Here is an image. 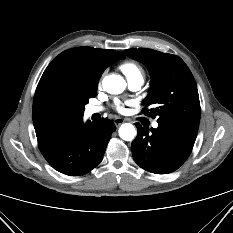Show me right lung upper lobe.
I'll return each mask as SVG.
<instances>
[{
    "label": "right lung upper lobe",
    "mask_w": 233,
    "mask_h": 233,
    "mask_svg": "<svg viewBox=\"0 0 233 233\" xmlns=\"http://www.w3.org/2000/svg\"><path fill=\"white\" fill-rule=\"evenodd\" d=\"M113 50L78 47L55 57L44 71L33 100V124L37 139H44L83 119L77 93L97 89L108 66L124 58Z\"/></svg>",
    "instance_id": "right-lung-upper-lobe-1"
}]
</instances>
